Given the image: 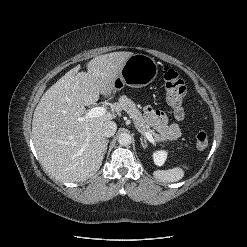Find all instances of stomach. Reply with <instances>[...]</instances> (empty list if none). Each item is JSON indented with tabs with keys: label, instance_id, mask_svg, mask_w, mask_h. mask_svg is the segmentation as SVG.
I'll return each mask as SVG.
<instances>
[{
	"label": "stomach",
	"instance_id": "0dacf381",
	"mask_svg": "<svg viewBox=\"0 0 247 247\" xmlns=\"http://www.w3.org/2000/svg\"><path fill=\"white\" fill-rule=\"evenodd\" d=\"M157 75L158 66L154 58L144 54H133L126 60L120 75L115 79L114 90H120L124 86L145 87L153 82Z\"/></svg>",
	"mask_w": 247,
	"mask_h": 247
}]
</instances>
